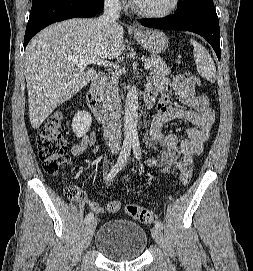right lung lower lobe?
I'll return each mask as SVG.
<instances>
[{
  "label": "right lung lower lobe",
  "instance_id": "1",
  "mask_svg": "<svg viewBox=\"0 0 253 271\" xmlns=\"http://www.w3.org/2000/svg\"><path fill=\"white\" fill-rule=\"evenodd\" d=\"M103 0H48L32 6L24 37L30 39L46 26L74 17L90 18L102 12Z\"/></svg>",
  "mask_w": 253,
  "mask_h": 271
}]
</instances>
